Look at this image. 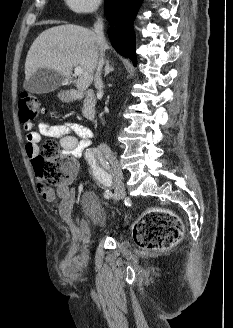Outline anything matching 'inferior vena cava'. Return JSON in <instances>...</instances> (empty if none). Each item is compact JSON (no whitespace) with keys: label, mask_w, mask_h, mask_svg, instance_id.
Segmentation results:
<instances>
[{"label":"inferior vena cava","mask_w":233,"mask_h":328,"mask_svg":"<svg viewBox=\"0 0 233 328\" xmlns=\"http://www.w3.org/2000/svg\"><path fill=\"white\" fill-rule=\"evenodd\" d=\"M94 28H95V33H96V36H97V39L100 43H105V38H104V33H103V22L100 18H98V20L96 21V23L94 24ZM104 54L101 53L99 55V61H98V64H97V71H96V74H95V78H94V85L95 87L98 89L99 93L102 94L103 93V82H102V79H101V70H102V67H103V64H104ZM101 148L102 149H107V145L103 144L101 145Z\"/></svg>","instance_id":"602c4592"}]
</instances>
